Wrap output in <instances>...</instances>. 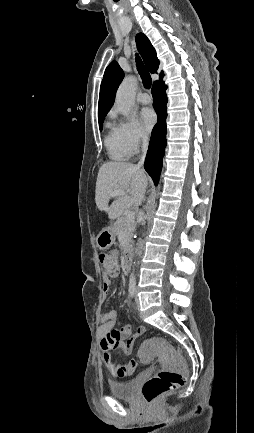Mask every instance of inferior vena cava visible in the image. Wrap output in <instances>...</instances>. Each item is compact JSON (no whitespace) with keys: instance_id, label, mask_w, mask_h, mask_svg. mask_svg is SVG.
<instances>
[{"instance_id":"1","label":"inferior vena cava","mask_w":254,"mask_h":433,"mask_svg":"<svg viewBox=\"0 0 254 433\" xmlns=\"http://www.w3.org/2000/svg\"><path fill=\"white\" fill-rule=\"evenodd\" d=\"M142 157L140 159V161L138 162V164L136 165L138 168L142 167L144 164V159L148 150V136L147 135H142Z\"/></svg>"}]
</instances>
